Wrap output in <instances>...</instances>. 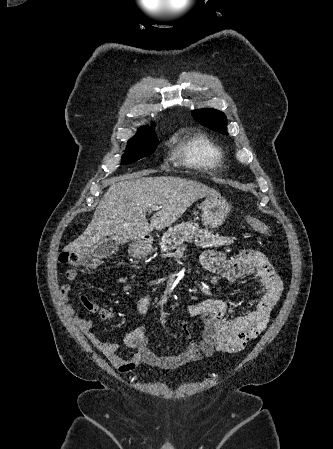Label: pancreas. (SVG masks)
<instances>
[{"instance_id":"pancreas-1","label":"pancreas","mask_w":333,"mask_h":449,"mask_svg":"<svg viewBox=\"0 0 333 449\" xmlns=\"http://www.w3.org/2000/svg\"><path fill=\"white\" fill-rule=\"evenodd\" d=\"M235 237H220L208 230L200 229L197 223L182 222L166 232L161 239L160 247L162 252L168 253L174 250L183 242H194L197 246L213 247L234 243Z\"/></svg>"}]
</instances>
